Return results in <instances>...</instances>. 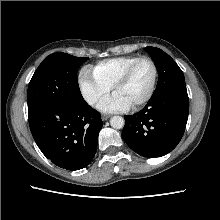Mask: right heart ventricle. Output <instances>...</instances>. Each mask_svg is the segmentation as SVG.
I'll list each match as a JSON object with an SVG mask.
<instances>
[{
	"label": "right heart ventricle",
	"mask_w": 220,
	"mask_h": 220,
	"mask_svg": "<svg viewBox=\"0 0 220 220\" xmlns=\"http://www.w3.org/2000/svg\"><path fill=\"white\" fill-rule=\"evenodd\" d=\"M138 58V56H119L105 59L93 67V72L99 80L113 87L116 80L123 74L127 67Z\"/></svg>",
	"instance_id": "1"
}]
</instances>
